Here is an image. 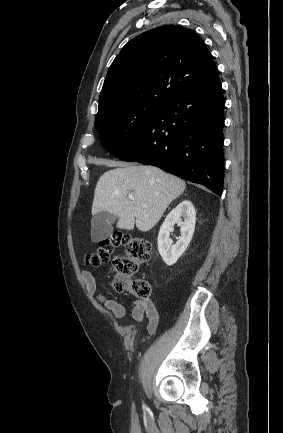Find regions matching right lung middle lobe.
<instances>
[{
    "label": "right lung middle lobe",
    "instance_id": "dd1d6c3e",
    "mask_svg": "<svg viewBox=\"0 0 283 433\" xmlns=\"http://www.w3.org/2000/svg\"><path fill=\"white\" fill-rule=\"evenodd\" d=\"M163 106L132 103L97 113L95 126L104 148L112 155L125 150Z\"/></svg>",
    "mask_w": 283,
    "mask_h": 433
}]
</instances>
